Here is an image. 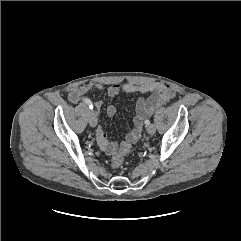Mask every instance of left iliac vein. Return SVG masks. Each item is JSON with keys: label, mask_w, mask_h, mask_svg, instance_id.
<instances>
[{"label": "left iliac vein", "mask_w": 241, "mask_h": 241, "mask_svg": "<svg viewBox=\"0 0 241 241\" xmlns=\"http://www.w3.org/2000/svg\"><path fill=\"white\" fill-rule=\"evenodd\" d=\"M146 129L150 135H153L156 132V127L154 124L147 125Z\"/></svg>", "instance_id": "4c4485c4"}]
</instances>
